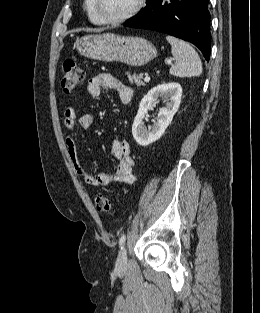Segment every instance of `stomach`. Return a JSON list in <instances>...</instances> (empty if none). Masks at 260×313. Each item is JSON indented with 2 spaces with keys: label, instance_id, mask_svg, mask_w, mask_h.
<instances>
[{
  "label": "stomach",
  "instance_id": "stomach-1",
  "mask_svg": "<svg viewBox=\"0 0 260 313\" xmlns=\"http://www.w3.org/2000/svg\"><path fill=\"white\" fill-rule=\"evenodd\" d=\"M82 56L105 62H122L140 67L157 55L156 47L142 37L120 36L113 33L85 35L76 41Z\"/></svg>",
  "mask_w": 260,
  "mask_h": 313
}]
</instances>
